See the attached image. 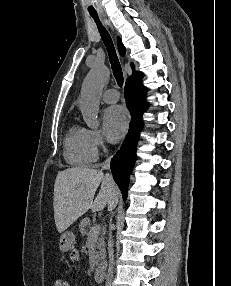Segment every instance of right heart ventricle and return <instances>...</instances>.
I'll list each match as a JSON object with an SVG mask.
<instances>
[{
    "label": "right heart ventricle",
    "mask_w": 231,
    "mask_h": 286,
    "mask_svg": "<svg viewBox=\"0 0 231 286\" xmlns=\"http://www.w3.org/2000/svg\"><path fill=\"white\" fill-rule=\"evenodd\" d=\"M63 149L66 162L73 166L90 165L98 157L89 130L77 124L71 125L66 132Z\"/></svg>",
    "instance_id": "e07e8e85"
}]
</instances>
